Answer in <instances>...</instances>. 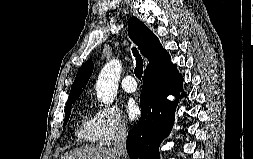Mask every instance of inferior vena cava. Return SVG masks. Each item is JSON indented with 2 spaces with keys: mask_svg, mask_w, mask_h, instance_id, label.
I'll return each instance as SVG.
<instances>
[{
  "mask_svg": "<svg viewBox=\"0 0 253 159\" xmlns=\"http://www.w3.org/2000/svg\"><path fill=\"white\" fill-rule=\"evenodd\" d=\"M126 127L123 124H118L116 128L114 143H113V150L116 152L119 156H127L126 151Z\"/></svg>",
  "mask_w": 253,
  "mask_h": 159,
  "instance_id": "inferior-vena-cava-1",
  "label": "inferior vena cava"
}]
</instances>
